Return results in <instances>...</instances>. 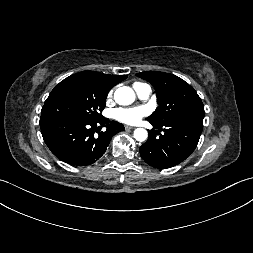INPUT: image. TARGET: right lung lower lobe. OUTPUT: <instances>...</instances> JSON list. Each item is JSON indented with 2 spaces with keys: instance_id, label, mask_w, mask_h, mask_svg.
<instances>
[{
  "instance_id": "obj_1",
  "label": "right lung lower lobe",
  "mask_w": 253,
  "mask_h": 253,
  "mask_svg": "<svg viewBox=\"0 0 253 253\" xmlns=\"http://www.w3.org/2000/svg\"><path fill=\"white\" fill-rule=\"evenodd\" d=\"M105 126V131H100ZM43 139L60 160L76 166L95 163L106 151L109 141L124 126L102 117L94 121L76 119L40 120Z\"/></svg>"
}]
</instances>
